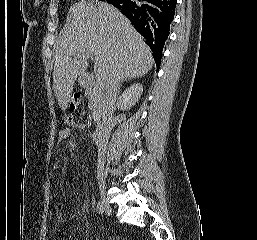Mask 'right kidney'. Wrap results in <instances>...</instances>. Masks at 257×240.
Listing matches in <instances>:
<instances>
[{"instance_id": "obj_1", "label": "right kidney", "mask_w": 257, "mask_h": 240, "mask_svg": "<svg viewBox=\"0 0 257 240\" xmlns=\"http://www.w3.org/2000/svg\"><path fill=\"white\" fill-rule=\"evenodd\" d=\"M143 92V86L140 83H136L128 87L122 95L118 98L117 107L120 110H129L132 106L138 102Z\"/></svg>"}]
</instances>
